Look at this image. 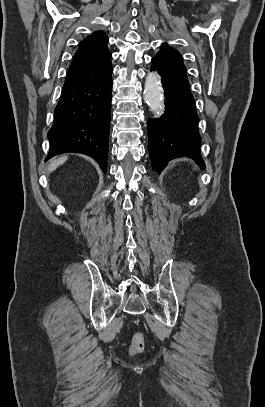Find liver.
<instances>
[{"instance_id": "obj_1", "label": "liver", "mask_w": 265, "mask_h": 407, "mask_svg": "<svg viewBox=\"0 0 265 407\" xmlns=\"http://www.w3.org/2000/svg\"><path fill=\"white\" fill-rule=\"evenodd\" d=\"M67 160V156H61L57 159H54L51 161L48 171L52 172L54 171L58 166H60L61 164H63L65 161Z\"/></svg>"}]
</instances>
